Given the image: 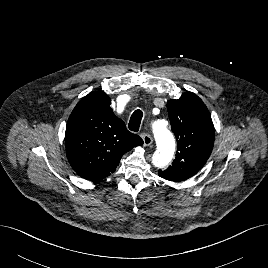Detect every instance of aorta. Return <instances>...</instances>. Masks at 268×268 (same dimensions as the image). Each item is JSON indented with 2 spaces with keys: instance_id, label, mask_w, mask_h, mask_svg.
<instances>
[{
  "instance_id": "aorta-1",
  "label": "aorta",
  "mask_w": 268,
  "mask_h": 268,
  "mask_svg": "<svg viewBox=\"0 0 268 268\" xmlns=\"http://www.w3.org/2000/svg\"><path fill=\"white\" fill-rule=\"evenodd\" d=\"M153 132L157 150L152 156V163L155 167L164 168L174 156L175 140L172 133L160 121L154 124Z\"/></svg>"
}]
</instances>
